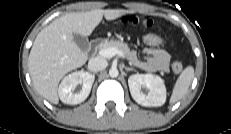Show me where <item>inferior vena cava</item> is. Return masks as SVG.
<instances>
[{
	"label": "inferior vena cava",
	"instance_id": "1",
	"mask_svg": "<svg viewBox=\"0 0 231 134\" xmlns=\"http://www.w3.org/2000/svg\"><path fill=\"white\" fill-rule=\"evenodd\" d=\"M108 63L105 59L100 57L91 58L88 62V69L92 72H98L107 67Z\"/></svg>",
	"mask_w": 231,
	"mask_h": 134
}]
</instances>
